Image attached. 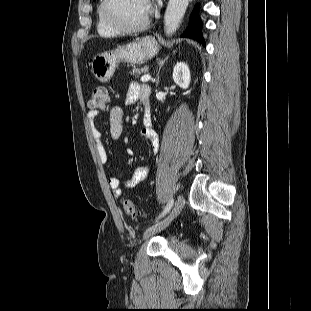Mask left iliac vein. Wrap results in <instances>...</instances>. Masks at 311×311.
I'll return each instance as SVG.
<instances>
[{"label": "left iliac vein", "instance_id": "left-iliac-vein-1", "mask_svg": "<svg viewBox=\"0 0 311 311\" xmlns=\"http://www.w3.org/2000/svg\"><path fill=\"white\" fill-rule=\"evenodd\" d=\"M183 206H184V198L182 195H179L177 197V200L174 204L173 209L170 211V213L167 215V217H165L163 220L157 222L153 226L149 227L144 232L143 238L147 239L150 236H152L153 234L157 233L158 231H161L164 228H166L171 223V221L180 214V212L183 209Z\"/></svg>", "mask_w": 311, "mask_h": 311}]
</instances>
